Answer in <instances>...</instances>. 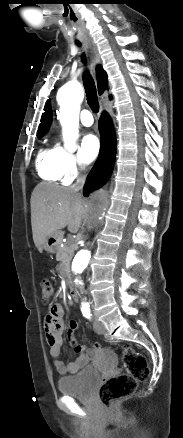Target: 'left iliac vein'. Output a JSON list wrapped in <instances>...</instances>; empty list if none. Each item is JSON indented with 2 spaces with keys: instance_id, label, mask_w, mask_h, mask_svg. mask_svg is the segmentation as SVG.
Masks as SVG:
<instances>
[{
  "instance_id": "left-iliac-vein-1",
  "label": "left iliac vein",
  "mask_w": 183,
  "mask_h": 438,
  "mask_svg": "<svg viewBox=\"0 0 183 438\" xmlns=\"http://www.w3.org/2000/svg\"><path fill=\"white\" fill-rule=\"evenodd\" d=\"M94 329L97 334H103L105 332L104 325L97 319L94 320Z\"/></svg>"
}]
</instances>
